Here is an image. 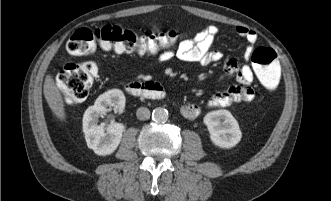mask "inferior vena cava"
<instances>
[{
  "mask_svg": "<svg viewBox=\"0 0 331 201\" xmlns=\"http://www.w3.org/2000/svg\"><path fill=\"white\" fill-rule=\"evenodd\" d=\"M136 116L139 120H147L150 118V111L146 107H140L136 111Z\"/></svg>",
  "mask_w": 331,
  "mask_h": 201,
  "instance_id": "obj_1",
  "label": "inferior vena cava"
}]
</instances>
